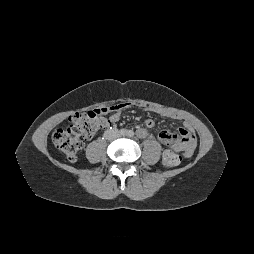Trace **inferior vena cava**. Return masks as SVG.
<instances>
[{"instance_id":"inferior-vena-cava-1","label":"inferior vena cava","mask_w":254,"mask_h":254,"mask_svg":"<svg viewBox=\"0 0 254 254\" xmlns=\"http://www.w3.org/2000/svg\"><path fill=\"white\" fill-rule=\"evenodd\" d=\"M104 137L107 140H114L119 137V132L116 129L106 130L104 133Z\"/></svg>"}]
</instances>
